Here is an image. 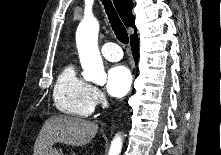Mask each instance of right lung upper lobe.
<instances>
[{
  "instance_id": "1",
  "label": "right lung upper lobe",
  "mask_w": 221,
  "mask_h": 155,
  "mask_svg": "<svg viewBox=\"0 0 221 155\" xmlns=\"http://www.w3.org/2000/svg\"><path fill=\"white\" fill-rule=\"evenodd\" d=\"M113 2H114L116 10L118 11L123 23L126 26H130V27L135 28V25H134L135 18L132 15V8H133L132 0H113ZM135 30H136V28H135ZM134 35H132V36H134Z\"/></svg>"
}]
</instances>
